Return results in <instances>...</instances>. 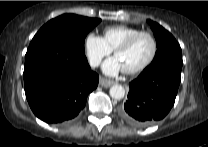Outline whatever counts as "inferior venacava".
<instances>
[{"instance_id":"inferior-vena-cava-1","label":"inferior vena cava","mask_w":208,"mask_h":147,"mask_svg":"<svg viewBox=\"0 0 208 147\" xmlns=\"http://www.w3.org/2000/svg\"><path fill=\"white\" fill-rule=\"evenodd\" d=\"M101 60L100 59H91L90 60V66L91 67H97L100 64Z\"/></svg>"}]
</instances>
